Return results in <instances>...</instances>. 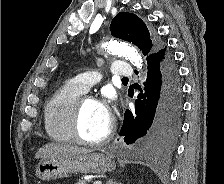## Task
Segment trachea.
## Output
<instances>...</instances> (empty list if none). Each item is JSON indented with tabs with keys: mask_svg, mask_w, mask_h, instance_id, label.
Listing matches in <instances>:
<instances>
[{
	"mask_svg": "<svg viewBox=\"0 0 224 184\" xmlns=\"http://www.w3.org/2000/svg\"><path fill=\"white\" fill-rule=\"evenodd\" d=\"M122 81H128V78H122Z\"/></svg>",
	"mask_w": 224,
	"mask_h": 184,
	"instance_id": "trachea-1",
	"label": "trachea"
}]
</instances>
